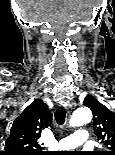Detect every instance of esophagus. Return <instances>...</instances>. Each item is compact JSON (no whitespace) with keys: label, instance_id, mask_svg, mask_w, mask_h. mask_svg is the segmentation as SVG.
Instances as JSON below:
<instances>
[{"label":"esophagus","instance_id":"34e87169","mask_svg":"<svg viewBox=\"0 0 115 155\" xmlns=\"http://www.w3.org/2000/svg\"><path fill=\"white\" fill-rule=\"evenodd\" d=\"M67 110H68V114H69V116H70L71 113H72V110H73L72 105H69Z\"/></svg>","mask_w":115,"mask_h":155}]
</instances>
